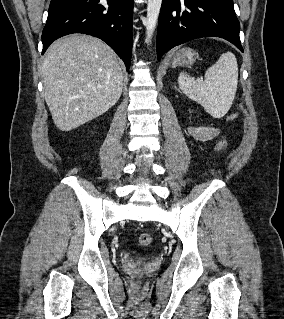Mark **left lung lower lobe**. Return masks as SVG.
<instances>
[{
    "label": "left lung lower lobe",
    "mask_w": 284,
    "mask_h": 319,
    "mask_svg": "<svg viewBox=\"0 0 284 319\" xmlns=\"http://www.w3.org/2000/svg\"><path fill=\"white\" fill-rule=\"evenodd\" d=\"M233 0H163L158 21L157 58L201 37H221L243 52Z\"/></svg>",
    "instance_id": "0a47b994"
}]
</instances>
